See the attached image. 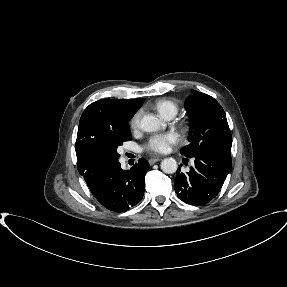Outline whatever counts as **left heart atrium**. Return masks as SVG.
Masks as SVG:
<instances>
[{
    "label": "left heart atrium",
    "mask_w": 287,
    "mask_h": 287,
    "mask_svg": "<svg viewBox=\"0 0 287 287\" xmlns=\"http://www.w3.org/2000/svg\"><path fill=\"white\" fill-rule=\"evenodd\" d=\"M178 140L179 136L175 132L158 133L149 138L145 148L153 153H166Z\"/></svg>",
    "instance_id": "left-heart-atrium-1"
}]
</instances>
